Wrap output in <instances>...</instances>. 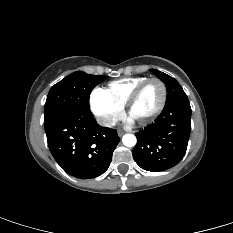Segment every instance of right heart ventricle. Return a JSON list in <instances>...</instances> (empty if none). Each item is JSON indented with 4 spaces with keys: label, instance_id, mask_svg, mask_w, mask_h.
<instances>
[{
    "label": "right heart ventricle",
    "instance_id": "e07e8e85",
    "mask_svg": "<svg viewBox=\"0 0 233 233\" xmlns=\"http://www.w3.org/2000/svg\"><path fill=\"white\" fill-rule=\"evenodd\" d=\"M147 77H131L110 82L105 89L107 96L116 104L124 107L133 90Z\"/></svg>",
    "mask_w": 233,
    "mask_h": 233
}]
</instances>
